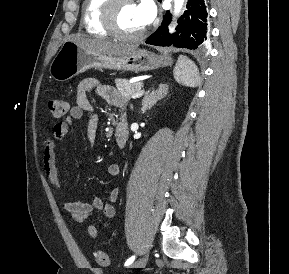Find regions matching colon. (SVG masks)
<instances>
[{
    "label": "colon",
    "instance_id": "obj_1",
    "mask_svg": "<svg viewBox=\"0 0 289 274\" xmlns=\"http://www.w3.org/2000/svg\"><path fill=\"white\" fill-rule=\"evenodd\" d=\"M47 107L55 118H61L68 112L69 104L63 99H51L47 102ZM95 262L100 266H107L109 264L108 255L101 251L97 250L94 252Z\"/></svg>",
    "mask_w": 289,
    "mask_h": 274
}]
</instances>
